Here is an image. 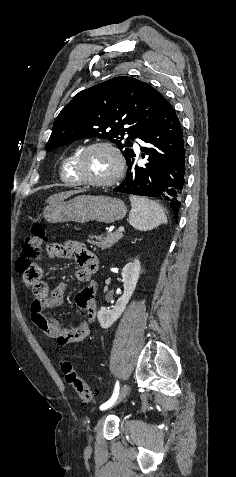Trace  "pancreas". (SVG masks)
<instances>
[{
    "instance_id": "1",
    "label": "pancreas",
    "mask_w": 236,
    "mask_h": 477,
    "mask_svg": "<svg viewBox=\"0 0 236 477\" xmlns=\"http://www.w3.org/2000/svg\"><path fill=\"white\" fill-rule=\"evenodd\" d=\"M90 239L87 241L91 245L97 246L101 250H104L106 248H110L114 243H116L118 240H120L123 237L122 233H109L107 232L106 234H102L100 236H89ZM93 239H96L94 241Z\"/></svg>"
}]
</instances>
